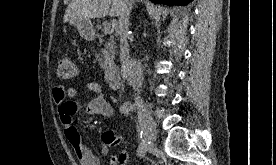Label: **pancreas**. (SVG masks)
<instances>
[{
    "label": "pancreas",
    "instance_id": "cf45deb5",
    "mask_svg": "<svg viewBox=\"0 0 276 165\" xmlns=\"http://www.w3.org/2000/svg\"><path fill=\"white\" fill-rule=\"evenodd\" d=\"M98 60L99 66L103 69L107 68L108 65L113 61L115 57V47L113 43H109L104 49L95 54Z\"/></svg>",
    "mask_w": 276,
    "mask_h": 165
}]
</instances>
